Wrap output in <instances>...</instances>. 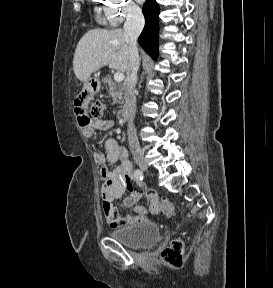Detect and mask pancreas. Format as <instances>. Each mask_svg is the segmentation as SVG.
Wrapping results in <instances>:
<instances>
[{
    "instance_id": "cf45deb5",
    "label": "pancreas",
    "mask_w": 273,
    "mask_h": 288,
    "mask_svg": "<svg viewBox=\"0 0 273 288\" xmlns=\"http://www.w3.org/2000/svg\"><path fill=\"white\" fill-rule=\"evenodd\" d=\"M103 83L108 94L112 97L113 104L121 103L122 87L119 83L114 82L110 76L103 78Z\"/></svg>"
}]
</instances>
